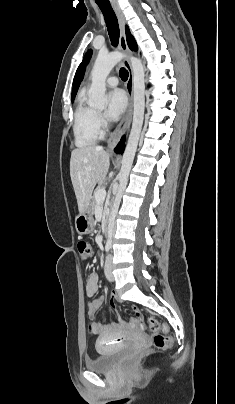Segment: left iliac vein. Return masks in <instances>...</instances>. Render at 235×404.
<instances>
[{
	"label": "left iliac vein",
	"mask_w": 235,
	"mask_h": 404,
	"mask_svg": "<svg viewBox=\"0 0 235 404\" xmlns=\"http://www.w3.org/2000/svg\"><path fill=\"white\" fill-rule=\"evenodd\" d=\"M105 276L110 281H114V275L112 273V255L109 254L105 262Z\"/></svg>",
	"instance_id": "1"
}]
</instances>
